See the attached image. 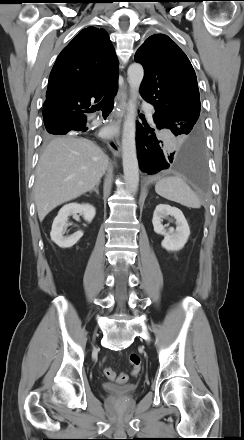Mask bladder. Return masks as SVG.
<instances>
[{
  "instance_id": "1",
  "label": "bladder",
  "mask_w": 244,
  "mask_h": 440,
  "mask_svg": "<svg viewBox=\"0 0 244 440\" xmlns=\"http://www.w3.org/2000/svg\"><path fill=\"white\" fill-rule=\"evenodd\" d=\"M101 387L107 394L116 398H128L136 392V387L132 385L117 386L111 383H104Z\"/></svg>"
}]
</instances>
